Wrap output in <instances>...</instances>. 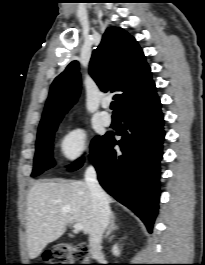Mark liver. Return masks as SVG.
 I'll return each mask as SVG.
<instances>
[{"instance_id": "liver-1", "label": "liver", "mask_w": 205, "mask_h": 265, "mask_svg": "<svg viewBox=\"0 0 205 265\" xmlns=\"http://www.w3.org/2000/svg\"><path fill=\"white\" fill-rule=\"evenodd\" d=\"M109 203L112 199L108 197ZM28 256L37 258L47 244L60 238L68 223H79L90 234L93 206L85 181L50 180L35 183L27 196Z\"/></svg>"}]
</instances>
